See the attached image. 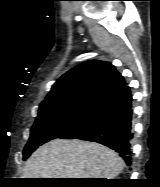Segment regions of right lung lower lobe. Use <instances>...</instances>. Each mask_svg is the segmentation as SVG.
Here are the masks:
<instances>
[{
	"label": "right lung lower lobe",
	"mask_w": 160,
	"mask_h": 187,
	"mask_svg": "<svg viewBox=\"0 0 160 187\" xmlns=\"http://www.w3.org/2000/svg\"><path fill=\"white\" fill-rule=\"evenodd\" d=\"M132 96L125 85L98 101L75 126L61 134L62 139H81L105 145L131 165Z\"/></svg>",
	"instance_id": "obj_1"
}]
</instances>
